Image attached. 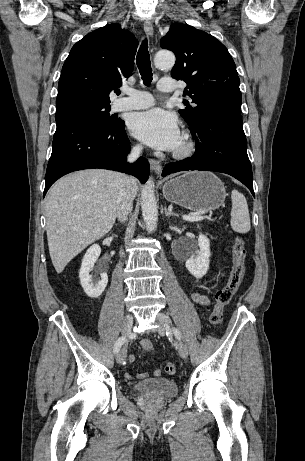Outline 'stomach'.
<instances>
[{
  "label": "stomach",
  "instance_id": "1",
  "mask_svg": "<svg viewBox=\"0 0 305 461\" xmlns=\"http://www.w3.org/2000/svg\"><path fill=\"white\" fill-rule=\"evenodd\" d=\"M163 195L171 203L200 212L219 208L225 201L226 191L215 174L191 171L167 181Z\"/></svg>",
  "mask_w": 305,
  "mask_h": 461
}]
</instances>
